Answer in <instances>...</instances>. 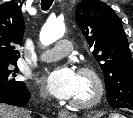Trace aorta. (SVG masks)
<instances>
[{"label":"aorta","mask_w":133,"mask_h":118,"mask_svg":"<svg viewBox=\"0 0 133 118\" xmlns=\"http://www.w3.org/2000/svg\"><path fill=\"white\" fill-rule=\"evenodd\" d=\"M65 33V26L57 21L47 22L41 29L40 41L44 46H48L61 37Z\"/></svg>","instance_id":"762f6f07"}]
</instances>
